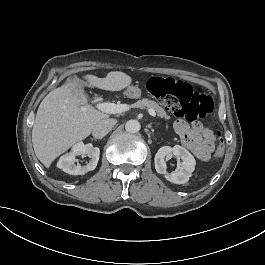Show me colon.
I'll use <instances>...</instances> for the list:
<instances>
[{
	"mask_svg": "<svg viewBox=\"0 0 265 265\" xmlns=\"http://www.w3.org/2000/svg\"><path fill=\"white\" fill-rule=\"evenodd\" d=\"M147 91L175 116L189 121L206 118L213 107L211 95L173 77H150ZM216 135L220 141L214 158L220 159L224 155L225 144L221 141V132L217 131Z\"/></svg>",
	"mask_w": 265,
	"mask_h": 265,
	"instance_id": "obj_1",
	"label": "colon"
}]
</instances>
